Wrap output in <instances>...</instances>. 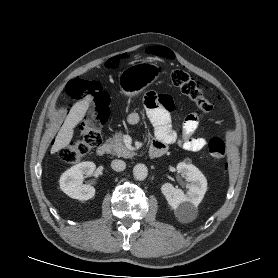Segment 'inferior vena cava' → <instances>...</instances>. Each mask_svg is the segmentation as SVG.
Masks as SVG:
<instances>
[{"instance_id": "1", "label": "inferior vena cava", "mask_w": 278, "mask_h": 278, "mask_svg": "<svg viewBox=\"0 0 278 278\" xmlns=\"http://www.w3.org/2000/svg\"><path fill=\"white\" fill-rule=\"evenodd\" d=\"M111 167L115 171H123L126 168V163L123 160H113Z\"/></svg>"}]
</instances>
